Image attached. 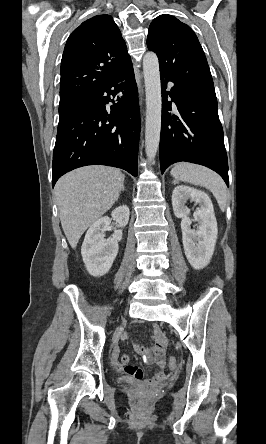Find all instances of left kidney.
I'll return each instance as SVG.
<instances>
[{
	"label": "left kidney",
	"instance_id": "5707ae66",
	"mask_svg": "<svg viewBox=\"0 0 266 444\" xmlns=\"http://www.w3.org/2000/svg\"><path fill=\"white\" fill-rule=\"evenodd\" d=\"M190 200L200 206L193 216L199 226L197 230L191 229L189 209L186 206ZM173 212L181 218L182 241L186 258L194 269L206 267L212 258L218 228L214 208L210 197L201 190L180 185L172 193Z\"/></svg>",
	"mask_w": 266,
	"mask_h": 444
}]
</instances>
